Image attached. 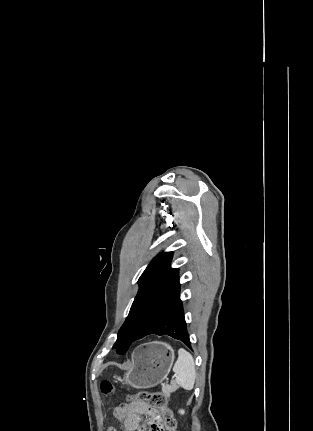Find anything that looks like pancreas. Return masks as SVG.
<instances>
[{
    "label": "pancreas",
    "mask_w": 313,
    "mask_h": 431,
    "mask_svg": "<svg viewBox=\"0 0 313 431\" xmlns=\"http://www.w3.org/2000/svg\"><path fill=\"white\" fill-rule=\"evenodd\" d=\"M177 389V386L175 384L171 385H164L162 387V393L165 397H169L172 392H174Z\"/></svg>",
    "instance_id": "cf45deb5"
}]
</instances>
